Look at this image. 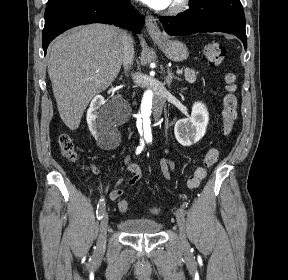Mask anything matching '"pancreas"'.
Instances as JSON below:
<instances>
[{
  "instance_id": "cf45deb5",
  "label": "pancreas",
  "mask_w": 288,
  "mask_h": 280,
  "mask_svg": "<svg viewBox=\"0 0 288 280\" xmlns=\"http://www.w3.org/2000/svg\"><path fill=\"white\" fill-rule=\"evenodd\" d=\"M184 71H185L184 76H185L186 81L189 83H195L198 72H195L193 69H190V68H185Z\"/></svg>"
}]
</instances>
